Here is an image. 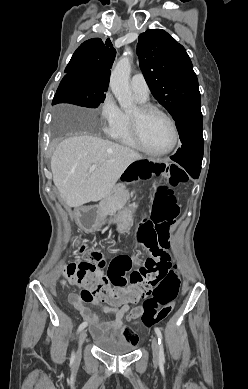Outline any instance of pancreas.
Returning <instances> with one entry per match:
<instances>
[{
    "instance_id": "1",
    "label": "pancreas",
    "mask_w": 248,
    "mask_h": 389,
    "mask_svg": "<svg viewBox=\"0 0 248 389\" xmlns=\"http://www.w3.org/2000/svg\"><path fill=\"white\" fill-rule=\"evenodd\" d=\"M131 194L124 184L115 185L109 194L99 203L98 221L106 220L111 209L121 210L130 202Z\"/></svg>"
}]
</instances>
